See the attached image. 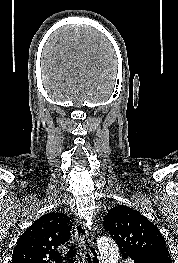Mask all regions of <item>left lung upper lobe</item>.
Segmentation results:
<instances>
[{
    "label": "left lung upper lobe",
    "instance_id": "left-lung-upper-lobe-1",
    "mask_svg": "<svg viewBox=\"0 0 178 263\" xmlns=\"http://www.w3.org/2000/svg\"><path fill=\"white\" fill-rule=\"evenodd\" d=\"M103 228L112 236L122 255L171 260L166 242L158 228L138 211L116 206L104 218Z\"/></svg>",
    "mask_w": 178,
    "mask_h": 263
}]
</instances>
